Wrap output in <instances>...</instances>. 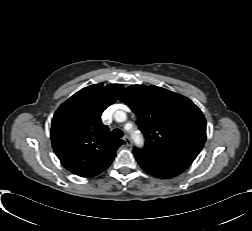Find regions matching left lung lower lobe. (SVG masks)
I'll list each match as a JSON object with an SVG mask.
<instances>
[{
  "label": "left lung lower lobe",
  "mask_w": 252,
  "mask_h": 231,
  "mask_svg": "<svg viewBox=\"0 0 252 231\" xmlns=\"http://www.w3.org/2000/svg\"><path fill=\"white\" fill-rule=\"evenodd\" d=\"M139 165L149 174L159 178H170L184 172L192 159L174 155H147L133 151Z\"/></svg>",
  "instance_id": "0a47b994"
}]
</instances>
